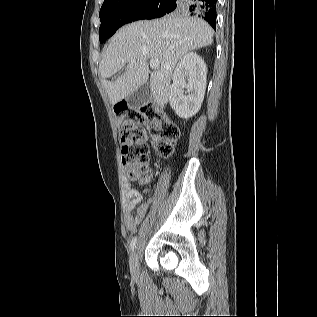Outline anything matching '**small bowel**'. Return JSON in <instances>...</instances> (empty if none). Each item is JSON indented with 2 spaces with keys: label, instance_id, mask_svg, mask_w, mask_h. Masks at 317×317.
<instances>
[{
  "label": "small bowel",
  "instance_id": "obj_1",
  "mask_svg": "<svg viewBox=\"0 0 317 317\" xmlns=\"http://www.w3.org/2000/svg\"><path fill=\"white\" fill-rule=\"evenodd\" d=\"M150 180V176L146 175L143 179H141V184L148 183ZM127 197L128 203L126 206V213H125V227L129 231H134L136 227L141 223L143 220L151 201H147L143 204H140L142 201V195L135 189L128 188L127 189ZM138 206L137 212L133 215L132 211L134 208Z\"/></svg>",
  "mask_w": 317,
  "mask_h": 317
}]
</instances>
